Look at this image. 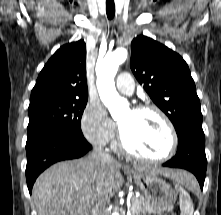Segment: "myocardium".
I'll return each mask as SVG.
<instances>
[{
	"label": "myocardium",
	"instance_id": "myocardium-1",
	"mask_svg": "<svg viewBox=\"0 0 221 215\" xmlns=\"http://www.w3.org/2000/svg\"><path fill=\"white\" fill-rule=\"evenodd\" d=\"M135 111L137 112H153L155 113L164 123L169 137H170V146L168 151L160 156V157H148V156H144L141 155L139 153H136L135 151H133L128 144L126 143V140L124 138L123 132L119 126V144H120V148L121 150L127 154L128 156L141 160V161H145V162H150V163H162L165 162L169 159H171L178 148V136H177V132L175 130V127L173 125V123L171 122V120L169 119V117L166 115V113L161 110L159 107L155 106V105H151V104H142L137 106L135 109Z\"/></svg>",
	"mask_w": 221,
	"mask_h": 215
}]
</instances>
